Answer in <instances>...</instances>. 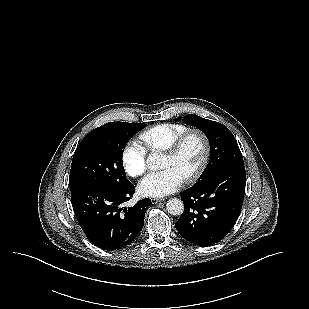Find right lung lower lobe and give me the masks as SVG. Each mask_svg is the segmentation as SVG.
Returning a JSON list of instances; mask_svg holds the SVG:
<instances>
[{
    "mask_svg": "<svg viewBox=\"0 0 309 309\" xmlns=\"http://www.w3.org/2000/svg\"><path fill=\"white\" fill-rule=\"evenodd\" d=\"M134 192L131 183L122 189L93 185L71 190L73 210L92 244L113 251L135 240L143 228L145 211L152 203L146 198L133 207L121 208Z\"/></svg>",
    "mask_w": 309,
    "mask_h": 309,
    "instance_id": "1",
    "label": "right lung lower lobe"
}]
</instances>
